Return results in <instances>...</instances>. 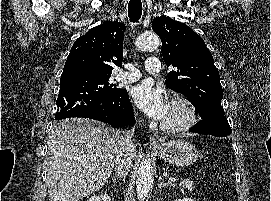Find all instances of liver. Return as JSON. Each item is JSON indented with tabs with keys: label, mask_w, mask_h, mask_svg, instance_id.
Here are the masks:
<instances>
[{
	"label": "liver",
	"mask_w": 271,
	"mask_h": 201,
	"mask_svg": "<svg viewBox=\"0 0 271 201\" xmlns=\"http://www.w3.org/2000/svg\"><path fill=\"white\" fill-rule=\"evenodd\" d=\"M116 131L87 118L57 122L48 139L49 201H79L107 182L118 150ZM136 156L134 146L132 158Z\"/></svg>",
	"instance_id": "liver-1"
}]
</instances>
